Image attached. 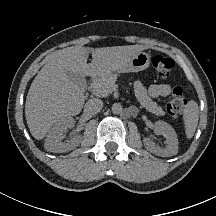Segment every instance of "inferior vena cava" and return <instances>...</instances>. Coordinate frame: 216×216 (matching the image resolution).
I'll return each instance as SVG.
<instances>
[{
	"instance_id": "inferior-vena-cava-1",
	"label": "inferior vena cava",
	"mask_w": 216,
	"mask_h": 216,
	"mask_svg": "<svg viewBox=\"0 0 216 216\" xmlns=\"http://www.w3.org/2000/svg\"><path fill=\"white\" fill-rule=\"evenodd\" d=\"M102 107H103V102L98 98H92L88 100L87 103L85 104L86 111L91 114H96L100 112Z\"/></svg>"
}]
</instances>
